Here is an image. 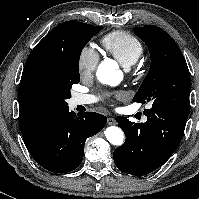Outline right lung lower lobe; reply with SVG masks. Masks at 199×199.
Instances as JSON below:
<instances>
[{
	"instance_id": "obj_1",
	"label": "right lung lower lobe",
	"mask_w": 199,
	"mask_h": 199,
	"mask_svg": "<svg viewBox=\"0 0 199 199\" xmlns=\"http://www.w3.org/2000/svg\"><path fill=\"white\" fill-rule=\"evenodd\" d=\"M107 123L99 113L78 116L69 108L59 110L25 145L34 160L54 173H66L82 162L87 138L97 134Z\"/></svg>"
}]
</instances>
